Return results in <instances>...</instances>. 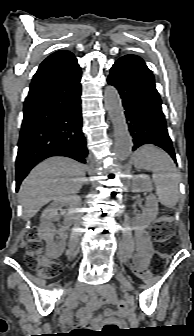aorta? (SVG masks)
Listing matches in <instances>:
<instances>
[{"instance_id": "1", "label": "aorta", "mask_w": 194, "mask_h": 336, "mask_svg": "<svg viewBox=\"0 0 194 336\" xmlns=\"http://www.w3.org/2000/svg\"><path fill=\"white\" fill-rule=\"evenodd\" d=\"M104 103L114 127L116 158L119 161H124L132 151L133 141L129 133L122 101L115 87L107 86L105 88Z\"/></svg>"}]
</instances>
